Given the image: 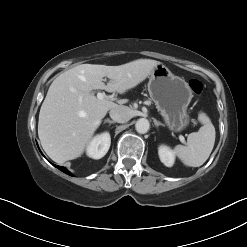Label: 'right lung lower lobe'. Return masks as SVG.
I'll return each instance as SVG.
<instances>
[{
    "label": "right lung lower lobe",
    "mask_w": 247,
    "mask_h": 247,
    "mask_svg": "<svg viewBox=\"0 0 247 247\" xmlns=\"http://www.w3.org/2000/svg\"><path fill=\"white\" fill-rule=\"evenodd\" d=\"M54 166L57 167L59 170L63 171L64 173L71 175L64 167L58 165H54Z\"/></svg>",
    "instance_id": "obj_1"
}]
</instances>
